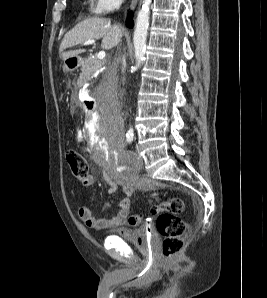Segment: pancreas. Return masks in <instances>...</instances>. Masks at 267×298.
Returning a JSON list of instances; mask_svg holds the SVG:
<instances>
[{
    "instance_id": "cf45deb5",
    "label": "pancreas",
    "mask_w": 267,
    "mask_h": 298,
    "mask_svg": "<svg viewBox=\"0 0 267 298\" xmlns=\"http://www.w3.org/2000/svg\"><path fill=\"white\" fill-rule=\"evenodd\" d=\"M104 64L105 62L103 60L98 59V57L96 56L89 58L82 66V73L80 75V78L84 81H88L89 79H91L93 73L99 70ZM112 97H114V95Z\"/></svg>"
}]
</instances>
